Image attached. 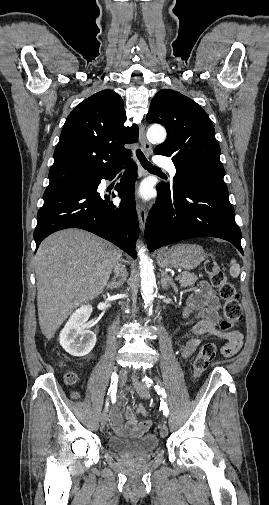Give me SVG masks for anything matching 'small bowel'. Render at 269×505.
<instances>
[{
  "label": "small bowel",
  "mask_w": 269,
  "mask_h": 505,
  "mask_svg": "<svg viewBox=\"0 0 269 505\" xmlns=\"http://www.w3.org/2000/svg\"><path fill=\"white\" fill-rule=\"evenodd\" d=\"M218 306V300L211 287L208 283L201 282L198 290L188 299L184 313L186 317H189L192 313L196 314L191 320L193 336L181 349L183 359L189 358L208 335L227 339L228 342L222 348V354L225 357H231L240 350L243 343L242 334L238 331L225 333L218 328L220 320ZM125 417L126 422L123 423L119 408H112L110 425L119 436L139 437L152 425L150 420L138 422L132 408L129 406L126 407Z\"/></svg>",
  "instance_id": "small-bowel-1"
}]
</instances>
